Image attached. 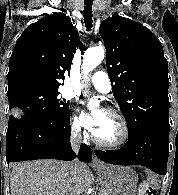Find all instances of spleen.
Returning a JSON list of instances; mask_svg holds the SVG:
<instances>
[{
  "label": "spleen",
  "mask_w": 178,
  "mask_h": 195,
  "mask_svg": "<svg viewBox=\"0 0 178 195\" xmlns=\"http://www.w3.org/2000/svg\"><path fill=\"white\" fill-rule=\"evenodd\" d=\"M148 183L152 189H157L159 187L160 180L156 176H149Z\"/></svg>",
  "instance_id": "spleen-1"
}]
</instances>
